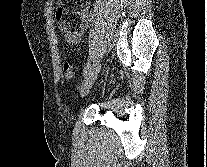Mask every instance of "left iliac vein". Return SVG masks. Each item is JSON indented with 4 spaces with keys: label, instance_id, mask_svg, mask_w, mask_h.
Wrapping results in <instances>:
<instances>
[{
    "label": "left iliac vein",
    "instance_id": "4c4485c4",
    "mask_svg": "<svg viewBox=\"0 0 207 167\" xmlns=\"http://www.w3.org/2000/svg\"><path fill=\"white\" fill-rule=\"evenodd\" d=\"M101 69V64L99 62L95 63L88 71V73L85 75L84 80L81 85V95L85 96L92 85L94 84L97 75L99 74Z\"/></svg>",
    "mask_w": 207,
    "mask_h": 167
}]
</instances>
